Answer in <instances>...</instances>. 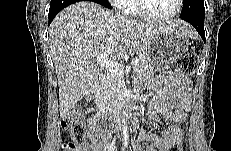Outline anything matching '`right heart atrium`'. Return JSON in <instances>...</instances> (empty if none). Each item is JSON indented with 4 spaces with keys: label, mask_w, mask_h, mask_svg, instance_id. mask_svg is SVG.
I'll return each instance as SVG.
<instances>
[{
    "label": "right heart atrium",
    "mask_w": 231,
    "mask_h": 151,
    "mask_svg": "<svg viewBox=\"0 0 231 151\" xmlns=\"http://www.w3.org/2000/svg\"><path fill=\"white\" fill-rule=\"evenodd\" d=\"M111 3L115 6V8L122 12L129 11V1L127 0H113Z\"/></svg>",
    "instance_id": "1"
}]
</instances>
